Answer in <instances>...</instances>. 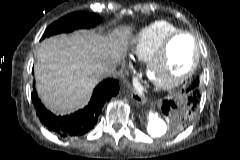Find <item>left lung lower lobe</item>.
I'll list each match as a JSON object with an SVG mask.
<instances>
[{
	"label": "left lung lower lobe",
	"instance_id": "1",
	"mask_svg": "<svg viewBox=\"0 0 240 160\" xmlns=\"http://www.w3.org/2000/svg\"><path fill=\"white\" fill-rule=\"evenodd\" d=\"M192 86V85H191ZM191 90V94L188 97V102L187 106L185 107L183 111V116L181 118L182 125L186 124L188 120L192 117L194 112L196 111L197 108V103L200 98L199 90L198 89H193L190 87L188 91ZM175 108V103L171 100H164L162 104V111L165 115H168L169 113L172 114V110ZM182 126H179L181 128Z\"/></svg>",
	"mask_w": 240,
	"mask_h": 160
}]
</instances>
